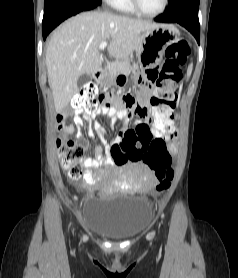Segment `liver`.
Wrapping results in <instances>:
<instances>
[{
	"label": "liver",
	"instance_id": "liver-1",
	"mask_svg": "<svg viewBox=\"0 0 238 278\" xmlns=\"http://www.w3.org/2000/svg\"><path fill=\"white\" fill-rule=\"evenodd\" d=\"M156 26L98 11L81 13L65 21L50 38L46 50L48 82L56 111H62L78 92L81 75L101 68L100 43L110 41L109 56L126 59L142 43L144 32Z\"/></svg>",
	"mask_w": 238,
	"mask_h": 278
}]
</instances>
